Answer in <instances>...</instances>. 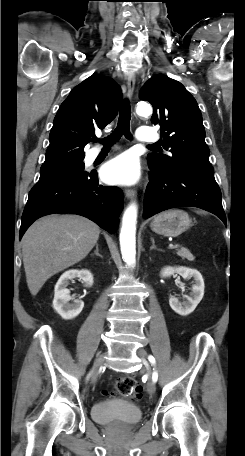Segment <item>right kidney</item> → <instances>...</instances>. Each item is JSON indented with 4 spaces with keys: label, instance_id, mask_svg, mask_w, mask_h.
<instances>
[{
    "label": "right kidney",
    "instance_id": "1",
    "mask_svg": "<svg viewBox=\"0 0 245 456\" xmlns=\"http://www.w3.org/2000/svg\"><path fill=\"white\" fill-rule=\"evenodd\" d=\"M74 278H80L85 286L90 287L93 285V275L88 270H68L61 275L54 289L53 308L65 320H70L77 317L84 308L82 300H72L70 291L67 289L69 281Z\"/></svg>",
    "mask_w": 245,
    "mask_h": 456
}]
</instances>
